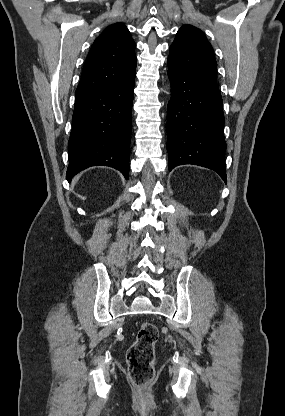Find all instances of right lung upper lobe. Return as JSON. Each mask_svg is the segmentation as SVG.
I'll return each instance as SVG.
<instances>
[{
  "label": "right lung upper lobe",
  "mask_w": 285,
  "mask_h": 416,
  "mask_svg": "<svg viewBox=\"0 0 285 416\" xmlns=\"http://www.w3.org/2000/svg\"><path fill=\"white\" fill-rule=\"evenodd\" d=\"M135 47L124 24L108 26L91 47L75 99L104 91L135 73Z\"/></svg>",
  "instance_id": "cb5924a9"
}]
</instances>
